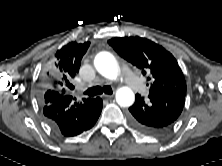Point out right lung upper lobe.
<instances>
[{"label":"right lung upper lobe","instance_id":"1","mask_svg":"<svg viewBox=\"0 0 222 166\" xmlns=\"http://www.w3.org/2000/svg\"><path fill=\"white\" fill-rule=\"evenodd\" d=\"M90 43L83 44L70 42L57 50L52 58L50 71L47 77V90L65 93L66 87L71 86L70 81L78 74L81 59L86 53Z\"/></svg>","mask_w":222,"mask_h":166}]
</instances>
